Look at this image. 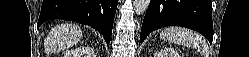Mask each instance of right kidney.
<instances>
[{
	"label": "right kidney",
	"mask_w": 249,
	"mask_h": 57,
	"mask_svg": "<svg viewBox=\"0 0 249 57\" xmlns=\"http://www.w3.org/2000/svg\"><path fill=\"white\" fill-rule=\"evenodd\" d=\"M72 55L74 56V55H75V53H72ZM72 55H66V57H67V56L69 57V56H72Z\"/></svg>",
	"instance_id": "right-kidney-1"
}]
</instances>
